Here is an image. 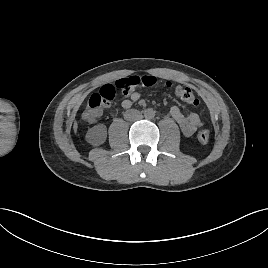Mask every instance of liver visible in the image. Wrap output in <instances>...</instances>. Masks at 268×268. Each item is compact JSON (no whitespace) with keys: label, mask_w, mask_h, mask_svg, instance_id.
I'll return each instance as SVG.
<instances>
[{"label":"liver","mask_w":268,"mask_h":268,"mask_svg":"<svg viewBox=\"0 0 268 268\" xmlns=\"http://www.w3.org/2000/svg\"><path fill=\"white\" fill-rule=\"evenodd\" d=\"M77 128H78V124L77 122L74 123V131L76 132L77 131Z\"/></svg>","instance_id":"liver-1"}]
</instances>
